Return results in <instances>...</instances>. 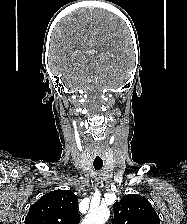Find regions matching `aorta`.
<instances>
[{
  "instance_id": "762f6f07",
  "label": "aorta",
  "mask_w": 187,
  "mask_h": 224,
  "mask_svg": "<svg viewBox=\"0 0 187 224\" xmlns=\"http://www.w3.org/2000/svg\"><path fill=\"white\" fill-rule=\"evenodd\" d=\"M110 217L109 208L103 206L89 210L81 224H105Z\"/></svg>"
}]
</instances>
